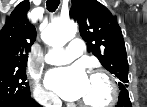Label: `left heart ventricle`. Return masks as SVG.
Listing matches in <instances>:
<instances>
[{
  "mask_svg": "<svg viewBox=\"0 0 147 107\" xmlns=\"http://www.w3.org/2000/svg\"><path fill=\"white\" fill-rule=\"evenodd\" d=\"M108 95L109 90L103 79L89 78L86 91L80 100L88 103H102Z\"/></svg>",
  "mask_w": 147,
  "mask_h": 107,
  "instance_id": "left-heart-ventricle-1",
  "label": "left heart ventricle"
}]
</instances>
